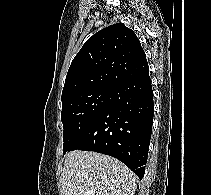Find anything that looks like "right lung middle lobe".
Instances as JSON below:
<instances>
[{
  "label": "right lung middle lobe",
  "instance_id": "right-lung-middle-lobe-1",
  "mask_svg": "<svg viewBox=\"0 0 211 195\" xmlns=\"http://www.w3.org/2000/svg\"><path fill=\"white\" fill-rule=\"evenodd\" d=\"M110 89L95 88L62 100L63 149L69 150L105 108Z\"/></svg>",
  "mask_w": 211,
  "mask_h": 195
}]
</instances>
